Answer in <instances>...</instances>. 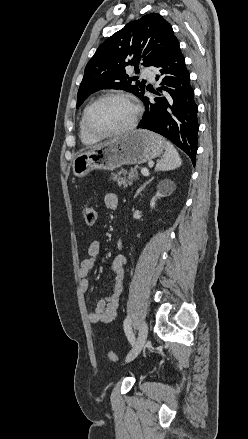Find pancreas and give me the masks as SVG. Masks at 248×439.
Instances as JSON below:
<instances>
[{"mask_svg": "<svg viewBox=\"0 0 248 439\" xmlns=\"http://www.w3.org/2000/svg\"><path fill=\"white\" fill-rule=\"evenodd\" d=\"M112 180L117 182L119 186L122 185H130L134 180H136L139 176L136 169H131L130 171L121 170L118 173H112Z\"/></svg>", "mask_w": 248, "mask_h": 439, "instance_id": "1", "label": "pancreas"}]
</instances>
